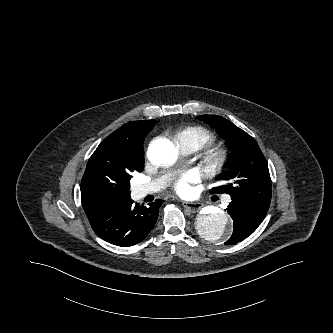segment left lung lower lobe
Returning a JSON list of instances; mask_svg holds the SVG:
<instances>
[{"instance_id":"obj_1","label":"left lung lower lobe","mask_w":333,"mask_h":333,"mask_svg":"<svg viewBox=\"0 0 333 333\" xmlns=\"http://www.w3.org/2000/svg\"><path fill=\"white\" fill-rule=\"evenodd\" d=\"M268 209V205L261 203L232 199L227 212L234 221V230L225 245L237 243L251 235L264 220Z\"/></svg>"}]
</instances>
